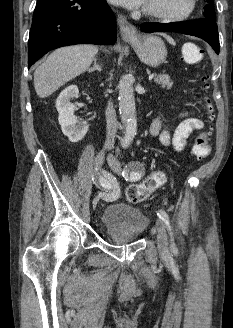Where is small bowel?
Wrapping results in <instances>:
<instances>
[{"instance_id":"small-bowel-1","label":"small bowel","mask_w":233,"mask_h":328,"mask_svg":"<svg viewBox=\"0 0 233 328\" xmlns=\"http://www.w3.org/2000/svg\"><path fill=\"white\" fill-rule=\"evenodd\" d=\"M203 127L204 122L202 120L188 112H184L180 114L179 123L174 129L164 124L161 116L157 117L151 124L150 133L152 136L158 137L164 146L173 147L176 151H182L189 136Z\"/></svg>"}]
</instances>
